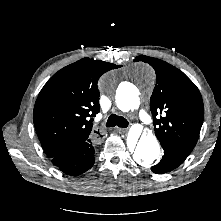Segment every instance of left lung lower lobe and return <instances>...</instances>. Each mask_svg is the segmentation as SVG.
I'll use <instances>...</instances> for the list:
<instances>
[{
  "label": "left lung lower lobe",
  "instance_id": "0a47b994",
  "mask_svg": "<svg viewBox=\"0 0 221 221\" xmlns=\"http://www.w3.org/2000/svg\"><path fill=\"white\" fill-rule=\"evenodd\" d=\"M164 149V156L161 161L151 167V170L156 174H164L173 169L177 168L190 154L189 151L172 146V145H162Z\"/></svg>",
  "mask_w": 221,
  "mask_h": 221
}]
</instances>
